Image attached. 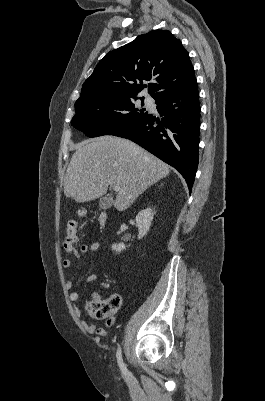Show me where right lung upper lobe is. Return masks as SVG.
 <instances>
[{
	"label": "right lung upper lobe",
	"mask_w": 265,
	"mask_h": 401,
	"mask_svg": "<svg viewBox=\"0 0 265 401\" xmlns=\"http://www.w3.org/2000/svg\"><path fill=\"white\" fill-rule=\"evenodd\" d=\"M143 80H153L148 90L154 99L196 82L188 52L169 31L140 35L106 54L84 82L75 106L105 96L135 97L145 87L137 84Z\"/></svg>",
	"instance_id": "right-lung-upper-lobe-1"
}]
</instances>
